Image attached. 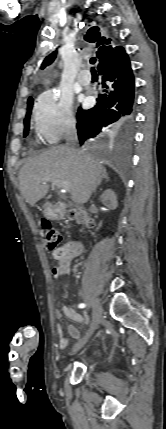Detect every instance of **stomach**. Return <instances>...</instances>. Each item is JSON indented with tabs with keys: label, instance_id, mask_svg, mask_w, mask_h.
Returning <instances> with one entry per match:
<instances>
[{
	"label": "stomach",
	"instance_id": "obj_1",
	"mask_svg": "<svg viewBox=\"0 0 166 429\" xmlns=\"http://www.w3.org/2000/svg\"><path fill=\"white\" fill-rule=\"evenodd\" d=\"M44 214L48 217H56L57 213L55 212V210H53L51 208V206L48 203L44 204Z\"/></svg>",
	"mask_w": 166,
	"mask_h": 429
}]
</instances>
